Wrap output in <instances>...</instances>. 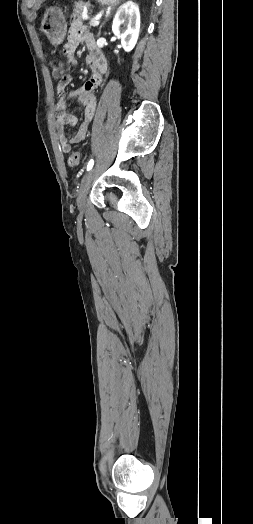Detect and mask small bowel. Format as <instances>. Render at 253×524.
Wrapping results in <instances>:
<instances>
[{
	"instance_id": "small-bowel-1",
	"label": "small bowel",
	"mask_w": 253,
	"mask_h": 524,
	"mask_svg": "<svg viewBox=\"0 0 253 524\" xmlns=\"http://www.w3.org/2000/svg\"><path fill=\"white\" fill-rule=\"evenodd\" d=\"M85 45L88 49L86 63L91 69L90 78L79 88L66 91L69 81L76 75L78 66L75 56L77 47ZM64 62L69 68L67 73L61 75V81L57 84L58 98L56 101V133L64 153H69L72 144L83 141L89 131V126L94 119L97 108V96L95 90L101 84L106 74L108 64L102 52L98 49L92 32L75 19L73 20L68 34V41L64 46ZM67 98H76L83 107V120L76 133L68 139L64 133L65 127H73L78 119L67 111Z\"/></svg>"
}]
</instances>
